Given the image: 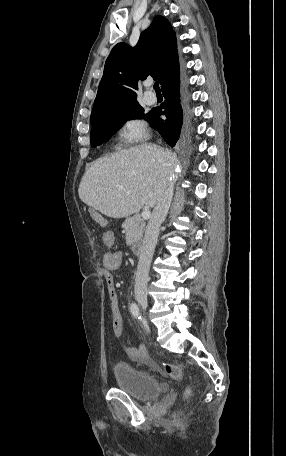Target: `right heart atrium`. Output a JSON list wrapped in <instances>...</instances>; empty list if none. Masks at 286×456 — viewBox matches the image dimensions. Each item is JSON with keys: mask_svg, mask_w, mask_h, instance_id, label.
<instances>
[{"mask_svg": "<svg viewBox=\"0 0 286 456\" xmlns=\"http://www.w3.org/2000/svg\"><path fill=\"white\" fill-rule=\"evenodd\" d=\"M148 129L146 122L137 115L125 117L117 130L118 142L122 146H129L147 138Z\"/></svg>", "mask_w": 286, "mask_h": 456, "instance_id": "obj_1", "label": "right heart atrium"}]
</instances>
